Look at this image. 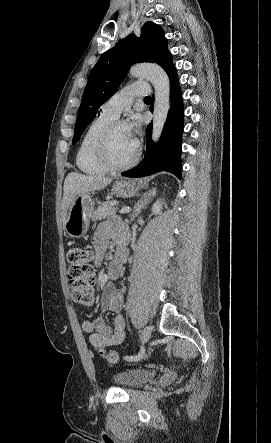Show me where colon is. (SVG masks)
I'll list each match as a JSON object with an SVG mask.
<instances>
[{"instance_id":"colon-1","label":"colon","mask_w":271,"mask_h":443,"mask_svg":"<svg viewBox=\"0 0 271 443\" xmlns=\"http://www.w3.org/2000/svg\"><path fill=\"white\" fill-rule=\"evenodd\" d=\"M94 253L88 248L73 247L67 252L70 264L68 277L71 286L72 299L84 308L94 305L95 297V269L93 265ZM100 354L109 363L119 362L118 353L111 350H101Z\"/></svg>"}]
</instances>
